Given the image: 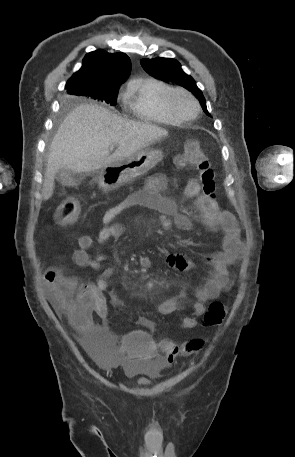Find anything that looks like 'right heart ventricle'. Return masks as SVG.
I'll list each match as a JSON object with an SVG mask.
<instances>
[{
  "label": "right heart ventricle",
  "mask_w": 295,
  "mask_h": 457,
  "mask_svg": "<svg viewBox=\"0 0 295 457\" xmlns=\"http://www.w3.org/2000/svg\"><path fill=\"white\" fill-rule=\"evenodd\" d=\"M172 87L155 78L132 81L124 93V105L137 119L165 125L180 123L167 109L164 96Z\"/></svg>",
  "instance_id": "e07e8e85"
}]
</instances>
